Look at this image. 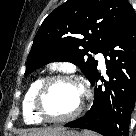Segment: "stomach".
I'll use <instances>...</instances> for the list:
<instances>
[{"instance_id": "stomach-1", "label": "stomach", "mask_w": 136, "mask_h": 136, "mask_svg": "<svg viewBox=\"0 0 136 136\" xmlns=\"http://www.w3.org/2000/svg\"><path fill=\"white\" fill-rule=\"evenodd\" d=\"M53 136H81V135L76 131L64 129Z\"/></svg>"}]
</instances>
